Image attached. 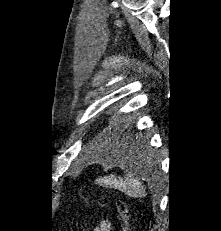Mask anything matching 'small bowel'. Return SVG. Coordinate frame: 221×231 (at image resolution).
<instances>
[{
    "label": "small bowel",
    "instance_id": "c3829d8e",
    "mask_svg": "<svg viewBox=\"0 0 221 231\" xmlns=\"http://www.w3.org/2000/svg\"><path fill=\"white\" fill-rule=\"evenodd\" d=\"M92 231H111V222L106 219L101 220Z\"/></svg>",
    "mask_w": 221,
    "mask_h": 231
}]
</instances>
